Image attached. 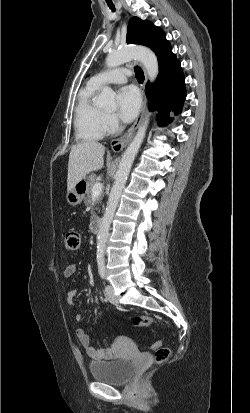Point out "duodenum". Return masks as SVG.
Listing matches in <instances>:
<instances>
[{
    "mask_svg": "<svg viewBox=\"0 0 250 413\" xmlns=\"http://www.w3.org/2000/svg\"><path fill=\"white\" fill-rule=\"evenodd\" d=\"M101 226H102V219L101 218L95 219L91 224L92 233L97 234L100 231Z\"/></svg>",
    "mask_w": 250,
    "mask_h": 413,
    "instance_id": "duodenum-1",
    "label": "duodenum"
}]
</instances>
